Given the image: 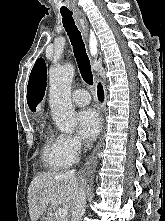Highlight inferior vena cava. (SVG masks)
<instances>
[{
  "mask_svg": "<svg viewBox=\"0 0 165 221\" xmlns=\"http://www.w3.org/2000/svg\"><path fill=\"white\" fill-rule=\"evenodd\" d=\"M73 174L74 170L68 172ZM86 196L81 186L77 187L75 195L71 205L72 221H81L82 216L85 213Z\"/></svg>",
  "mask_w": 165,
  "mask_h": 221,
  "instance_id": "obj_1",
  "label": "inferior vena cava"
}]
</instances>
